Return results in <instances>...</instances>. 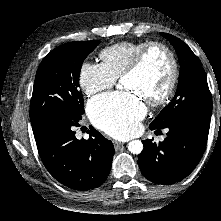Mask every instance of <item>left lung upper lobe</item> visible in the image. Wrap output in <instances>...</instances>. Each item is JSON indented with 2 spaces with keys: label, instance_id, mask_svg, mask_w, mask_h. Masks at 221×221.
Listing matches in <instances>:
<instances>
[{
  "label": "left lung upper lobe",
  "instance_id": "left-lung-upper-lobe-1",
  "mask_svg": "<svg viewBox=\"0 0 221 221\" xmlns=\"http://www.w3.org/2000/svg\"><path fill=\"white\" fill-rule=\"evenodd\" d=\"M174 46L180 62L176 94L150 124L159 129L191 116L211 118L212 98L201 62L187 44L177 37L161 33Z\"/></svg>",
  "mask_w": 221,
  "mask_h": 221
}]
</instances>
